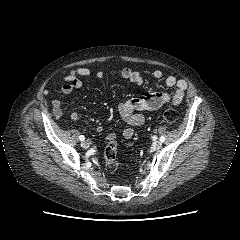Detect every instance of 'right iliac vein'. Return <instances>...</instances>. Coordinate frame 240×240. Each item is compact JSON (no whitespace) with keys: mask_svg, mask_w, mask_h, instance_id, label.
<instances>
[{"mask_svg":"<svg viewBox=\"0 0 240 240\" xmlns=\"http://www.w3.org/2000/svg\"><path fill=\"white\" fill-rule=\"evenodd\" d=\"M81 146H82L84 149H87V148H89L90 143H89L88 141H83V142L81 143Z\"/></svg>","mask_w":240,"mask_h":240,"instance_id":"63e3f726","label":"right iliac vein"}]
</instances>
